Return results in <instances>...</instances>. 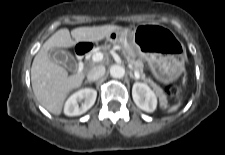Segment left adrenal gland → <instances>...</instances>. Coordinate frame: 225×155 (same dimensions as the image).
Returning <instances> with one entry per match:
<instances>
[{
	"label": "left adrenal gland",
	"instance_id": "left-adrenal-gland-1",
	"mask_svg": "<svg viewBox=\"0 0 225 155\" xmlns=\"http://www.w3.org/2000/svg\"><path fill=\"white\" fill-rule=\"evenodd\" d=\"M130 78L134 79L135 81H138V79L133 75L132 71L129 72Z\"/></svg>",
	"mask_w": 225,
	"mask_h": 155
}]
</instances>
